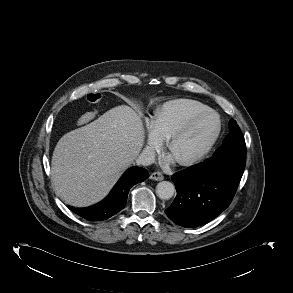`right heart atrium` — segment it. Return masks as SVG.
I'll use <instances>...</instances> for the list:
<instances>
[{
    "label": "right heart atrium",
    "instance_id": "obj_1",
    "mask_svg": "<svg viewBox=\"0 0 293 293\" xmlns=\"http://www.w3.org/2000/svg\"><path fill=\"white\" fill-rule=\"evenodd\" d=\"M145 125L147 130V140L144 155L148 160H151L155 153L162 147L163 138L155 130L152 120L146 119Z\"/></svg>",
    "mask_w": 293,
    "mask_h": 293
}]
</instances>
